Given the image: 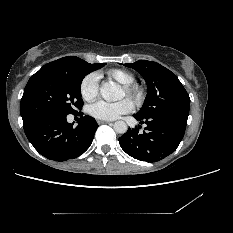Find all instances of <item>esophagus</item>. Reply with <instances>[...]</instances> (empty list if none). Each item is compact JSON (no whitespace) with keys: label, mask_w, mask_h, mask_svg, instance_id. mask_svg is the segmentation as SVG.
I'll use <instances>...</instances> for the list:
<instances>
[{"label":"esophagus","mask_w":233,"mask_h":233,"mask_svg":"<svg viewBox=\"0 0 233 233\" xmlns=\"http://www.w3.org/2000/svg\"><path fill=\"white\" fill-rule=\"evenodd\" d=\"M97 123L98 124H109L111 122L110 121H105V120H98Z\"/></svg>","instance_id":"34e87169"}]
</instances>
